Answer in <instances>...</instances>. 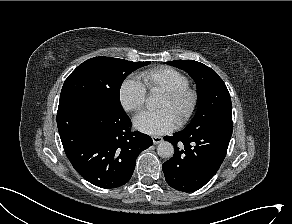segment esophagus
I'll use <instances>...</instances> for the list:
<instances>
[{
    "mask_svg": "<svg viewBox=\"0 0 292 224\" xmlns=\"http://www.w3.org/2000/svg\"><path fill=\"white\" fill-rule=\"evenodd\" d=\"M152 140H153V143L156 145V144L161 143L163 141V138L160 136H152Z\"/></svg>",
    "mask_w": 292,
    "mask_h": 224,
    "instance_id": "obj_1",
    "label": "esophagus"
}]
</instances>
